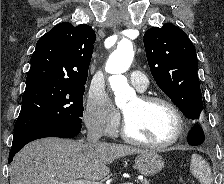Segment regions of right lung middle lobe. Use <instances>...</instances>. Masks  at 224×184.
Listing matches in <instances>:
<instances>
[{"instance_id":"dd1d6c3e","label":"right lung middle lobe","mask_w":224,"mask_h":184,"mask_svg":"<svg viewBox=\"0 0 224 184\" xmlns=\"http://www.w3.org/2000/svg\"><path fill=\"white\" fill-rule=\"evenodd\" d=\"M85 83L40 81L27 84L14 134L41 123L81 124Z\"/></svg>"}]
</instances>
